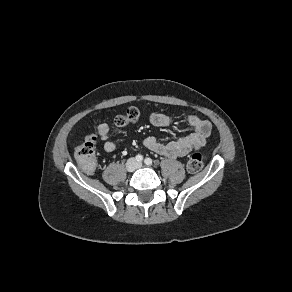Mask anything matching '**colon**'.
I'll return each mask as SVG.
<instances>
[{
    "instance_id": "5ec220e1",
    "label": "colon",
    "mask_w": 292,
    "mask_h": 292,
    "mask_svg": "<svg viewBox=\"0 0 292 292\" xmlns=\"http://www.w3.org/2000/svg\"><path fill=\"white\" fill-rule=\"evenodd\" d=\"M139 118V109L131 107L125 113L118 115L114 120V124L119 128H123L131 123H136ZM96 144L97 137L95 135H89L75 151L76 159L85 172H92L96 167ZM206 157V154L202 152L192 154L187 163L188 170L193 173L200 171L204 166Z\"/></svg>"
}]
</instances>
